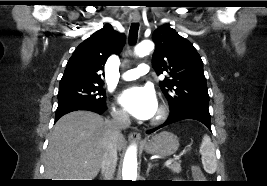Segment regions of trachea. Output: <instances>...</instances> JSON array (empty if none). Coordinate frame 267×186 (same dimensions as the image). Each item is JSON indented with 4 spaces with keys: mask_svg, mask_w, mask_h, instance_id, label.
<instances>
[{
    "mask_svg": "<svg viewBox=\"0 0 267 186\" xmlns=\"http://www.w3.org/2000/svg\"><path fill=\"white\" fill-rule=\"evenodd\" d=\"M138 29H139V24L138 23H132L130 30H129V44L134 45L137 41L138 37Z\"/></svg>",
    "mask_w": 267,
    "mask_h": 186,
    "instance_id": "obj_1",
    "label": "trachea"
}]
</instances>
